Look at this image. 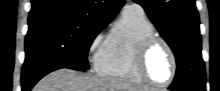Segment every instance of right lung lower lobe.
Here are the masks:
<instances>
[{
  "instance_id": "1",
  "label": "right lung lower lobe",
  "mask_w": 220,
  "mask_h": 91,
  "mask_svg": "<svg viewBox=\"0 0 220 91\" xmlns=\"http://www.w3.org/2000/svg\"><path fill=\"white\" fill-rule=\"evenodd\" d=\"M62 67H49L47 69H45L43 72L39 73L36 76H31L25 79H22V90L23 91H30L31 88L35 85V83L41 79L43 76H45L46 74L57 70V69H61Z\"/></svg>"
}]
</instances>
